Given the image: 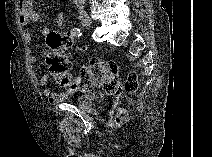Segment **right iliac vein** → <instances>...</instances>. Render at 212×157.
I'll use <instances>...</instances> for the list:
<instances>
[{
    "mask_svg": "<svg viewBox=\"0 0 212 157\" xmlns=\"http://www.w3.org/2000/svg\"><path fill=\"white\" fill-rule=\"evenodd\" d=\"M79 20L81 21V23L84 25V26H91L92 25V20L91 18L89 17V15L85 12L81 13L79 15Z\"/></svg>",
    "mask_w": 212,
    "mask_h": 157,
    "instance_id": "63e3f726",
    "label": "right iliac vein"
}]
</instances>
